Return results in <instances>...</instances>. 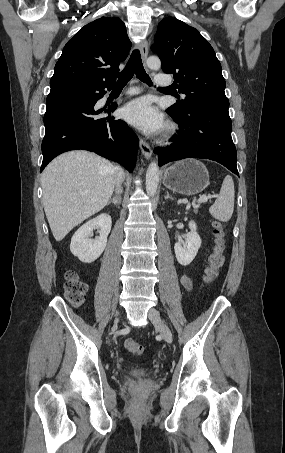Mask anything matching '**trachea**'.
<instances>
[{"label": "trachea", "mask_w": 285, "mask_h": 453, "mask_svg": "<svg viewBox=\"0 0 285 453\" xmlns=\"http://www.w3.org/2000/svg\"><path fill=\"white\" fill-rule=\"evenodd\" d=\"M134 73L142 82L152 86L149 75L145 72L139 50H134L124 70L117 75V86H125Z\"/></svg>", "instance_id": "trachea-1"}]
</instances>
